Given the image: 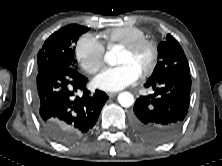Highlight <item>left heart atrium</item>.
I'll return each mask as SVG.
<instances>
[{"instance_id":"39dd6f15","label":"left heart atrium","mask_w":222,"mask_h":166,"mask_svg":"<svg viewBox=\"0 0 222 166\" xmlns=\"http://www.w3.org/2000/svg\"><path fill=\"white\" fill-rule=\"evenodd\" d=\"M141 72L131 63H124L116 67H106L93 79L95 87L114 92L135 83Z\"/></svg>"}]
</instances>
